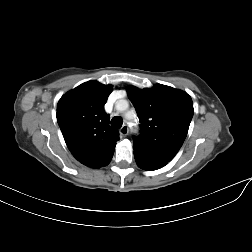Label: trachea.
Here are the masks:
<instances>
[{
  "instance_id": "3493384b",
  "label": "trachea",
  "mask_w": 252,
  "mask_h": 252,
  "mask_svg": "<svg viewBox=\"0 0 252 252\" xmlns=\"http://www.w3.org/2000/svg\"><path fill=\"white\" fill-rule=\"evenodd\" d=\"M122 124H123L122 118L119 116H115L111 120V125L114 126L115 128L118 129L121 128Z\"/></svg>"
}]
</instances>
